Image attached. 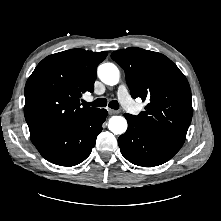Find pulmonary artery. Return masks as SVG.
Returning <instances> with one entry per match:
<instances>
[{
    "label": "pulmonary artery",
    "instance_id": "obj_1",
    "mask_svg": "<svg viewBox=\"0 0 221 221\" xmlns=\"http://www.w3.org/2000/svg\"><path fill=\"white\" fill-rule=\"evenodd\" d=\"M117 95L119 100L121 101L123 107H125L127 110L131 111L133 108V102L130 98L128 89L125 84H120L118 86Z\"/></svg>",
    "mask_w": 221,
    "mask_h": 221
}]
</instances>
